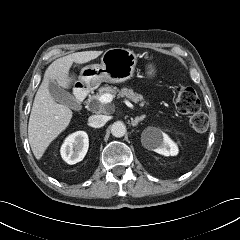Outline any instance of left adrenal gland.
Returning <instances> with one entry per match:
<instances>
[{"label":"left adrenal gland","instance_id":"left-adrenal-gland-1","mask_svg":"<svg viewBox=\"0 0 240 240\" xmlns=\"http://www.w3.org/2000/svg\"><path fill=\"white\" fill-rule=\"evenodd\" d=\"M145 118V115H141L140 117H136L132 119L131 124L132 126H137V124Z\"/></svg>","mask_w":240,"mask_h":240}]
</instances>
